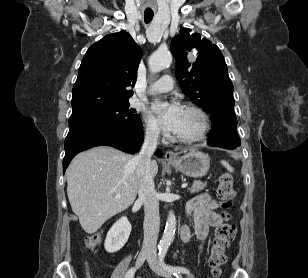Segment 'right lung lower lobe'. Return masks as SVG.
Returning <instances> with one entry per match:
<instances>
[{
  "label": "right lung lower lobe",
  "mask_w": 308,
  "mask_h": 278,
  "mask_svg": "<svg viewBox=\"0 0 308 278\" xmlns=\"http://www.w3.org/2000/svg\"><path fill=\"white\" fill-rule=\"evenodd\" d=\"M143 142L142 129H122L113 127H82L71 129L64 142L65 157L63 173L72 158L81 151L96 146H112L126 153H136ZM161 156L162 153H156Z\"/></svg>",
  "instance_id": "98d812e1"
}]
</instances>
